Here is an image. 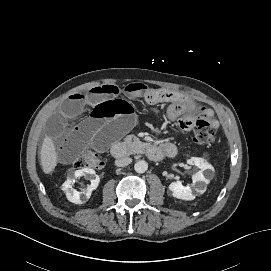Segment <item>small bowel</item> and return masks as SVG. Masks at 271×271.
Listing matches in <instances>:
<instances>
[{
    "instance_id": "obj_1",
    "label": "small bowel",
    "mask_w": 271,
    "mask_h": 271,
    "mask_svg": "<svg viewBox=\"0 0 271 271\" xmlns=\"http://www.w3.org/2000/svg\"><path fill=\"white\" fill-rule=\"evenodd\" d=\"M120 93L115 85H100L87 92L70 95L59 106L47 123V132L56 144L60 163L73 162L90 144L102 151L133 127V106L121 99ZM123 93L129 99L141 98L148 104L167 103L165 118L169 121H178L194 106L192 100L180 92L149 88L137 82L128 84ZM85 111H89L88 118L77 126H71V122ZM208 112L211 115V111ZM162 148L168 157L176 154V147L170 142L164 143Z\"/></svg>"
}]
</instances>
